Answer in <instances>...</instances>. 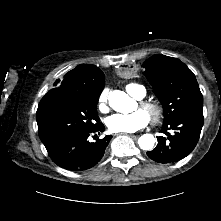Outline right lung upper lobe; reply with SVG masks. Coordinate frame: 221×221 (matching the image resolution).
Masks as SVG:
<instances>
[{
  "mask_svg": "<svg viewBox=\"0 0 221 221\" xmlns=\"http://www.w3.org/2000/svg\"><path fill=\"white\" fill-rule=\"evenodd\" d=\"M58 82L59 80L55 84ZM104 83L105 76L97 66L80 64L69 71L57 88L49 90L44 97H86L94 93H101Z\"/></svg>",
  "mask_w": 221,
  "mask_h": 221,
  "instance_id": "right-lung-upper-lobe-1",
  "label": "right lung upper lobe"
}]
</instances>
